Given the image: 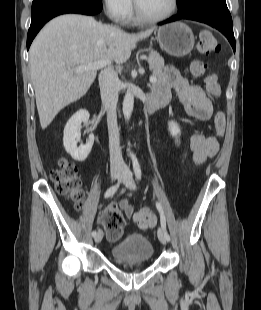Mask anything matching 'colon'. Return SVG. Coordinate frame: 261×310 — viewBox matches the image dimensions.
Instances as JSON below:
<instances>
[{
	"label": "colon",
	"instance_id": "colon-1",
	"mask_svg": "<svg viewBox=\"0 0 261 310\" xmlns=\"http://www.w3.org/2000/svg\"><path fill=\"white\" fill-rule=\"evenodd\" d=\"M198 51L204 56L217 54L221 51V44L210 31L204 30L200 33ZM205 70L206 64L201 60H194L190 65V73L193 78L201 77ZM204 84L207 93L211 97H220L221 88L216 74L208 73L204 77ZM214 127L215 137L221 138L225 132V116L222 112L215 114ZM50 176L57 192L67 197L68 200L74 203L77 209H80L83 206L84 192L77 167L66 159H60L57 166L51 170ZM119 208L118 202L112 200L102 211L101 223L109 239L112 241L118 240L121 237L125 224L124 217ZM133 219L137 226L142 229L153 227L156 223V217L149 209L137 211Z\"/></svg>",
	"mask_w": 261,
	"mask_h": 310
}]
</instances>
